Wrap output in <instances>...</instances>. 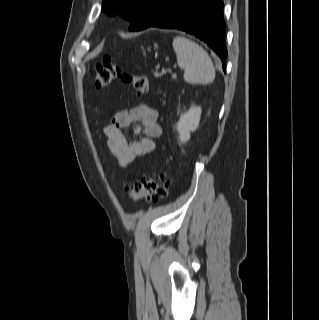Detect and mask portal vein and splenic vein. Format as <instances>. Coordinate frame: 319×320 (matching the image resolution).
<instances>
[{
    "label": "portal vein and splenic vein",
    "instance_id": "obj_1",
    "mask_svg": "<svg viewBox=\"0 0 319 320\" xmlns=\"http://www.w3.org/2000/svg\"><path fill=\"white\" fill-rule=\"evenodd\" d=\"M172 77L175 78V77H176V74H172Z\"/></svg>",
    "mask_w": 319,
    "mask_h": 320
}]
</instances>
